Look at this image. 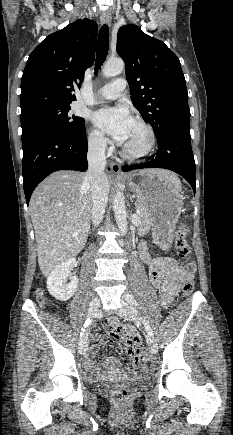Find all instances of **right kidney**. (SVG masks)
Returning a JSON list of instances; mask_svg holds the SVG:
<instances>
[{
  "instance_id": "1",
  "label": "right kidney",
  "mask_w": 233,
  "mask_h": 435,
  "mask_svg": "<svg viewBox=\"0 0 233 435\" xmlns=\"http://www.w3.org/2000/svg\"><path fill=\"white\" fill-rule=\"evenodd\" d=\"M75 264L76 258H70L50 273L47 279V289L57 300L67 301L74 295L78 285V277L72 276L70 283H67V279Z\"/></svg>"
}]
</instances>
